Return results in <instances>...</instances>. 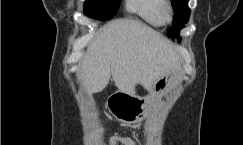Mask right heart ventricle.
I'll return each instance as SVG.
<instances>
[{
	"instance_id": "right-heart-ventricle-1",
	"label": "right heart ventricle",
	"mask_w": 243,
	"mask_h": 145,
	"mask_svg": "<svg viewBox=\"0 0 243 145\" xmlns=\"http://www.w3.org/2000/svg\"><path fill=\"white\" fill-rule=\"evenodd\" d=\"M162 6L163 0H126L129 12L155 27H160L165 23L161 15Z\"/></svg>"
}]
</instances>
